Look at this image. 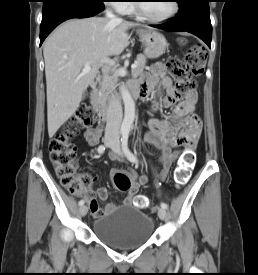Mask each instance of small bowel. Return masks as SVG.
Instances as JSON below:
<instances>
[{
    "mask_svg": "<svg viewBox=\"0 0 258 275\" xmlns=\"http://www.w3.org/2000/svg\"><path fill=\"white\" fill-rule=\"evenodd\" d=\"M129 87L140 88L142 98H146L152 91L156 90L157 99L153 103L152 109L158 110L161 105L170 107L177 103L179 95L173 85V79L167 74L162 63H155L151 66L150 73L142 77L139 81L133 82ZM162 91H165V96L161 98ZM197 95L194 92L189 93L184 101L179 102L168 120H159L151 118L148 121L149 131L145 135L146 142L152 144L160 152L159 162L162 166L160 179L164 180L170 167L175 160L181 155L180 150L175 148L184 146L187 149H192L201 132V120L195 113V105ZM103 128L97 126L89 129L85 133V139L89 146L98 144ZM111 160H120L115 154H110ZM117 172L113 170L111 177ZM131 185L127 196L123 200V204L130 206L139 189L148 183V176L145 173L137 175L133 171H127ZM108 191L105 187H99L95 195L90 197L85 195L88 207L94 217H100L105 213H110L116 209L115 203L106 204L104 209H101L98 200H106Z\"/></svg>",
    "mask_w": 258,
    "mask_h": 275,
    "instance_id": "1",
    "label": "small bowel"
}]
</instances>
